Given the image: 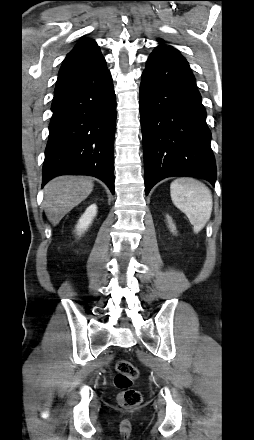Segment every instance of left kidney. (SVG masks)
<instances>
[{
    "instance_id": "1",
    "label": "left kidney",
    "mask_w": 254,
    "mask_h": 440,
    "mask_svg": "<svg viewBox=\"0 0 254 440\" xmlns=\"http://www.w3.org/2000/svg\"><path fill=\"white\" fill-rule=\"evenodd\" d=\"M167 219H168V223H169V225H170V228L172 229V232H174V230H175V226H174V224L172 223V219H171L169 216H167Z\"/></svg>"
}]
</instances>
